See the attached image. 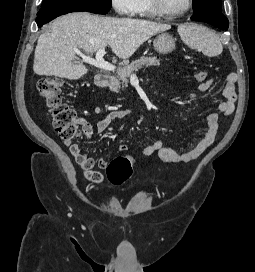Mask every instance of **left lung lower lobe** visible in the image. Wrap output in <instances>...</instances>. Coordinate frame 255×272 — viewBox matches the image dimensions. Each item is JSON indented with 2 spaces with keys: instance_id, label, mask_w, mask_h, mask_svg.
Masks as SVG:
<instances>
[{
  "instance_id": "1",
  "label": "left lung lower lobe",
  "mask_w": 255,
  "mask_h": 272,
  "mask_svg": "<svg viewBox=\"0 0 255 272\" xmlns=\"http://www.w3.org/2000/svg\"><path fill=\"white\" fill-rule=\"evenodd\" d=\"M191 19L212 24L222 30H227L229 26L228 19L217 8H206L197 11Z\"/></svg>"
}]
</instances>
